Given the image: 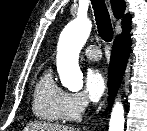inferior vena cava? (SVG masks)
<instances>
[{
  "mask_svg": "<svg viewBox=\"0 0 147 131\" xmlns=\"http://www.w3.org/2000/svg\"><path fill=\"white\" fill-rule=\"evenodd\" d=\"M87 105H88V101H84L83 104H82L83 111L85 110V108L87 107Z\"/></svg>",
  "mask_w": 147,
  "mask_h": 131,
  "instance_id": "602c4592",
  "label": "inferior vena cava"
}]
</instances>
